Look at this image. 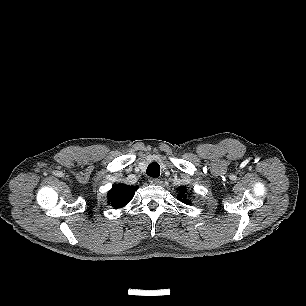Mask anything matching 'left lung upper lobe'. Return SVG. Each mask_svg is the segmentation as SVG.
Segmentation results:
<instances>
[{
	"instance_id": "5c2ea615",
	"label": "left lung upper lobe",
	"mask_w": 306,
	"mask_h": 306,
	"mask_svg": "<svg viewBox=\"0 0 306 306\" xmlns=\"http://www.w3.org/2000/svg\"><path fill=\"white\" fill-rule=\"evenodd\" d=\"M179 191H180V194L177 196V198L183 203L190 204L191 202L188 199H186L187 197L184 194V191H186V187H180Z\"/></svg>"
}]
</instances>
